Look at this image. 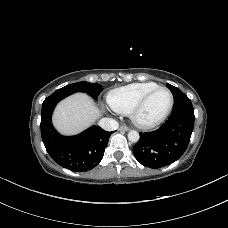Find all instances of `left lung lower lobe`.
I'll return each mask as SVG.
<instances>
[{
  "label": "left lung lower lobe",
  "mask_w": 228,
  "mask_h": 228,
  "mask_svg": "<svg viewBox=\"0 0 228 228\" xmlns=\"http://www.w3.org/2000/svg\"><path fill=\"white\" fill-rule=\"evenodd\" d=\"M194 127V109L186 96L177 98L169 119L157 130L140 133L133 147L136 159L153 169L175 162L187 149Z\"/></svg>",
  "instance_id": "obj_1"
}]
</instances>
